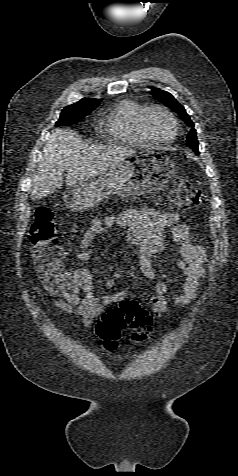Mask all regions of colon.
<instances>
[{
    "label": "colon",
    "instance_id": "1",
    "mask_svg": "<svg viewBox=\"0 0 238 476\" xmlns=\"http://www.w3.org/2000/svg\"><path fill=\"white\" fill-rule=\"evenodd\" d=\"M170 198L175 206L182 209L198 208L204 202L202 191L185 178L175 180ZM29 243L35 255L37 271L49 289L57 290L75 284L76 278L63 268L58 228L49 208L35 210ZM151 325L152 317L137 302L122 301L102 315L97 333L107 348L114 349L125 327L132 329L133 342L142 343L148 338Z\"/></svg>",
    "mask_w": 238,
    "mask_h": 476
}]
</instances>
